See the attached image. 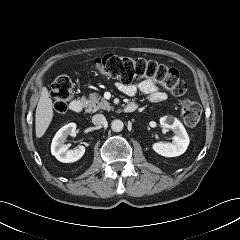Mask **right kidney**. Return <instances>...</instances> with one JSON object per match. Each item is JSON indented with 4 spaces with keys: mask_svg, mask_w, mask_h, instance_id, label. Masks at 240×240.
<instances>
[{
    "mask_svg": "<svg viewBox=\"0 0 240 240\" xmlns=\"http://www.w3.org/2000/svg\"><path fill=\"white\" fill-rule=\"evenodd\" d=\"M75 131L76 124L69 123L63 126L61 129H59L52 140L51 153L60 162L63 163L75 162L79 160L85 153L84 146H79L73 150H69V146L64 144L68 135H74Z\"/></svg>",
    "mask_w": 240,
    "mask_h": 240,
    "instance_id": "obj_1",
    "label": "right kidney"
}]
</instances>
